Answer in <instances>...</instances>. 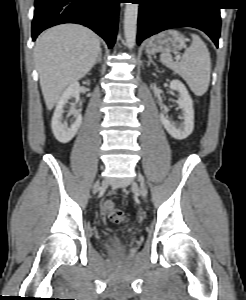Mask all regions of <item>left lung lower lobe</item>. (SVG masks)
I'll list each match as a JSON object with an SVG mask.
<instances>
[{"label":"left lung lower lobe","instance_id":"obj_1","mask_svg":"<svg viewBox=\"0 0 246 300\" xmlns=\"http://www.w3.org/2000/svg\"><path fill=\"white\" fill-rule=\"evenodd\" d=\"M140 4L137 43L166 29L194 27L204 31L218 47L221 29L216 0H136Z\"/></svg>","mask_w":246,"mask_h":300}]
</instances>
